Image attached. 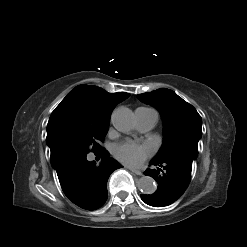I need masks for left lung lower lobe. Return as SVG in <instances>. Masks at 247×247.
<instances>
[{
	"mask_svg": "<svg viewBox=\"0 0 247 247\" xmlns=\"http://www.w3.org/2000/svg\"><path fill=\"white\" fill-rule=\"evenodd\" d=\"M192 162L180 156L165 160L153 159L150 165L158 168L147 169L144 174L153 177L158 183V188L151 195H141L143 202L154 207H163L175 202L189 185Z\"/></svg>",
	"mask_w": 247,
	"mask_h": 247,
	"instance_id": "left-lung-lower-lobe-1",
	"label": "left lung lower lobe"
}]
</instances>
